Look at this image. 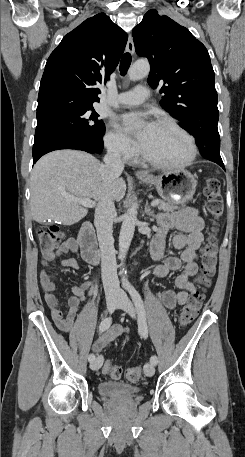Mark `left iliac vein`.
Masks as SVG:
<instances>
[{
  "mask_svg": "<svg viewBox=\"0 0 245 457\" xmlns=\"http://www.w3.org/2000/svg\"><path fill=\"white\" fill-rule=\"evenodd\" d=\"M117 308L126 311L132 318H136V311L133 307V304L125 293H122L120 295V300L117 305ZM144 373L148 377L153 376L155 373L154 365L152 363L145 364Z\"/></svg>",
  "mask_w": 245,
  "mask_h": 457,
  "instance_id": "obj_1",
  "label": "left iliac vein"
}]
</instances>
